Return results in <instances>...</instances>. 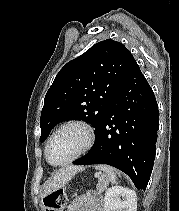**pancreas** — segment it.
<instances>
[{"instance_id": "obj_1", "label": "pancreas", "mask_w": 179, "mask_h": 211, "mask_svg": "<svg viewBox=\"0 0 179 211\" xmlns=\"http://www.w3.org/2000/svg\"><path fill=\"white\" fill-rule=\"evenodd\" d=\"M106 187H107V182L100 180L96 188L98 193L101 194Z\"/></svg>"}]
</instances>
